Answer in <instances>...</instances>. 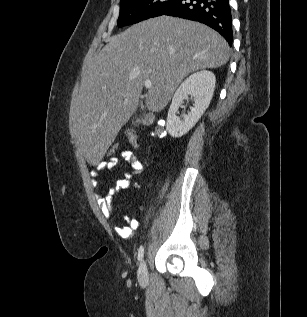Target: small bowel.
I'll return each instance as SVG.
<instances>
[{
    "instance_id": "1",
    "label": "small bowel",
    "mask_w": 307,
    "mask_h": 317,
    "mask_svg": "<svg viewBox=\"0 0 307 317\" xmlns=\"http://www.w3.org/2000/svg\"><path fill=\"white\" fill-rule=\"evenodd\" d=\"M121 159L129 164L131 172H127L123 175V178L118 180L115 185L108 190L106 195L98 196V203L100 205L101 211L106 218H111L112 212V201L115 199L116 195L120 190L127 189L130 186V178L133 174H138L142 171V163L137 155L130 151L124 150L120 154ZM120 162L119 157L108 159L106 161L99 162L96 165L95 176H98L99 171H112L114 170ZM125 221L126 226L114 225V231L122 238L129 239L133 236L134 231L138 228L139 222L133 217L126 216Z\"/></svg>"
}]
</instances>
